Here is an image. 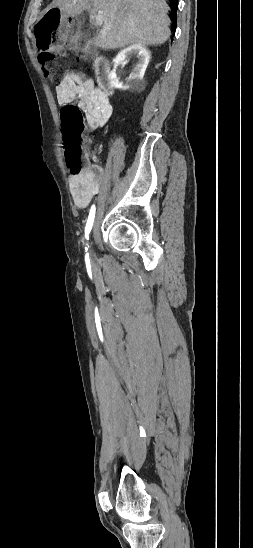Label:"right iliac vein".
I'll return each mask as SVG.
<instances>
[{"instance_id":"63e3f726","label":"right iliac vein","mask_w":253,"mask_h":548,"mask_svg":"<svg viewBox=\"0 0 253 548\" xmlns=\"http://www.w3.org/2000/svg\"><path fill=\"white\" fill-rule=\"evenodd\" d=\"M88 247H91V242L88 243ZM92 251V250H91Z\"/></svg>"}]
</instances>
